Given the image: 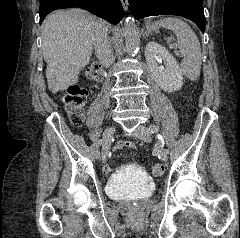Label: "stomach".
<instances>
[{
    "mask_svg": "<svg viewBox=\"0 0 240 238\" xmlns=\"http://www.w3.org/2000/svg\"><path fill=\"white\" fill-rule=\"evenodd\" d=\"M158 27H159V24H157V23H155V24H152L150 22L146 23V28L148 30H156V29H158Z\"/></svg>",
    "mask_w": 240,
    "mask_h": 238,
    "instance_id": "1",
    "label": "stomach"
}]
</instances>
